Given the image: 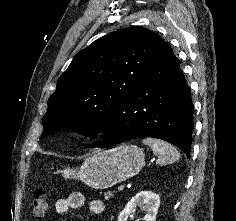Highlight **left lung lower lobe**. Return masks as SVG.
<instances>
[{"label": "left lung lower lobe", "instance_id": "obj_1", "mask_svg": "<svg viewBox=\"0 0 236 221\" xmlns=\"http://www.w3.org/2000/svg\"><path fill=\"white\" fill-rule=\"evenodd\" d=\"M193 129L190 88L166 44L114 113L99 147L154 137L174 144L189 155Z\"/></svg>", "mask_w": 236, "mask_h": 221}]
</instances>
